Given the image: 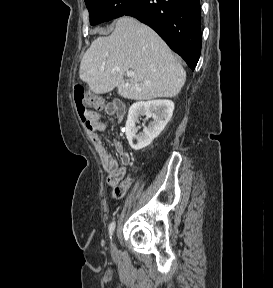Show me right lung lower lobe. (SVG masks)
Wrapping results in <instances>:
<instances>
[{
	"label": "right lung lower lobe",
	"mask_w": 273,
	"mask_h": 288,
	"mask_svg": "<svg viewBox=\"0 0 273 288\" xmlns=\"http://www.w3.org/2000/svg\"><path fill=\"white\" fill-rule=\"evenodd\" d=\"M199 0H135L124 13L155 30L194 70L201 52Z\"/></svg>",
	"instance_id": "1"
}]
</instances>
